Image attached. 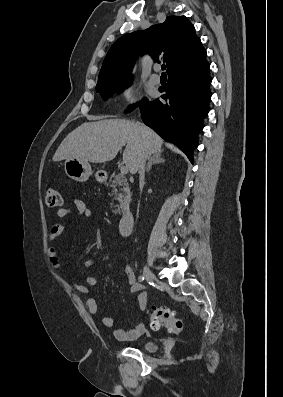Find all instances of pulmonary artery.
Wrapping results in <instances>:
<instances>
[{"mask_svg":"<svg viewBox=\"0 0 283 397\" xmlns=\"http://www.w3.org/2000/svg\"><path fill=\"white\" fill-rule=\"evenodd\" d=\"M154 70H155V72H158V71L160 70V66H159V65H156V66L154 67ZM150 81H151V83L157 85V84L160 83V76H159L157 73H154V74H152V75L150 76Z\"/></svg>","mask_w":283,"mask_h":397,"instance_id":"e3ab8cb5","label":"pulmonary artery"}]
</instances>
